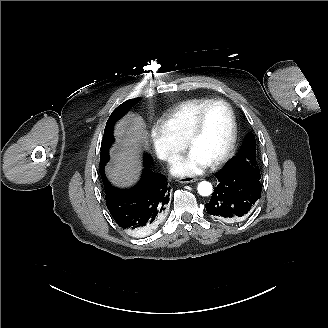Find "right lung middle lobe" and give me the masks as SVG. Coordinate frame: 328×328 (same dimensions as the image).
Here are the masks:
<instances>
[{"instance_id": "dd1d6c3e", "label": "right lung middle lobe", "mask_w": 328, "mask_h": 328, "mask_svg": "<svg viewBox=\"0 0 328 328\" xmlns=\"http://www.w3.org/2000/svg\"><path fill=\"white\" fill-rule=\"evenodd\" d=\"M139 101V98L127 100L119 105L110 115L106 127L104 130V136L101 143V152H100V165H101V178L103 183H106V177L104 174V167L106 163L109 161V147L114 142L113 137V127L117 120H119L125 113L129 111V109ZM148 160L147 156H144V162Z\"/></svg>"}]
</instances>
